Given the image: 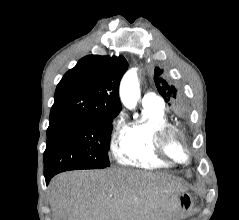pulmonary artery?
<instances>
[{"instance_id": "pulmonary-artery-1", "label": "pulmonary artery", "mask_w": 239, "mask_h": 220, "mask_svg": "<svg viewBox=\"0 0 239 220\" xmlns=\"http://www.w3.org/2000/svg\"><path fill=\"white\" fill-rule=\"evenodd\" d=\"M143 105H151L157 107H164L163 99L154 92H147L142 98Z\"/></svg>"}]
</instances>
